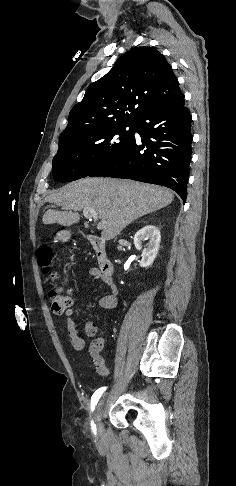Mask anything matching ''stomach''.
<instances>
[{"mask_svg":"<svg viewBox=\"0 0 236 486\" xmlns=\"http://www.w3.org/2000/svg\"><path fill=\"white\" fill-rule=\"evenodd\" d=\"M70 236H71L70 231L63 230L57 233L56 240L65 242L70 239Z\"/></svg>","mask_w":236,"mask_h":486,"instance_id":"0dacf381","label":"stomach"}]
</instances>
